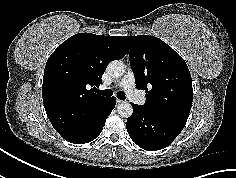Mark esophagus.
<instances>
[{
  "instance_id": "1",
  "label": "esophagus",
  "mask_w": 236,
  "mask_h": 178,
  "mask_svg": "<svg viewBox=\"0 0 236 178\" xmlns=\"http://www.w3.org/2000/svg\"><path fill=\"white\" fill-rule=\"evenodd\" d=\"M122 103H124L123 100L117 99V104H122Z\"/></svg>"
}]
</instances>
